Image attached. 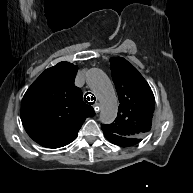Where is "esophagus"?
<instances>
[{
	"instance_id": "34e87169",
	"label": "esophagus",
	"mask_w": 193,
	"mask_h": 193,
	"mask_svg": "<svg viewBox=\"0 0 193 193\" xmlns=\"http://www.w3.org/2000/svg\"><path fill=\"white\" fill-rule=\"evenodd\" d=\"M94 110H95L96 113H98L100 111V105H99L98 102L95 104Z\"/></svg>"
}]
</instances>
